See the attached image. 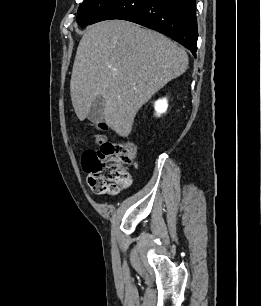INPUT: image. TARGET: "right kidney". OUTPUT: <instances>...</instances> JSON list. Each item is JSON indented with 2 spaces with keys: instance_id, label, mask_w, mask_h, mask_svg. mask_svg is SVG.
<instances>
[{
  "instance_id": "ca27d5eb",
  "label": "right kidney",
  "mask_w": 261,
  "mask_h": 306,
  "mask_svg": "<svg viewBox=\"0 0 261 306\" xmlns=\"http://www.w3.org/2000/svg\"><path fill=\"white\" fill-rule=\"evenodd\" d=\"M168 107L167 100L164 99H159L158 101L155 102V110L158 115L161 113H164Z\"/></svg>"
}]
</instances>
